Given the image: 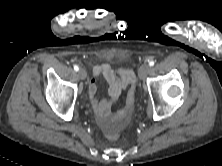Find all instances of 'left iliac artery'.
Listing matches in <instances>:
<instances>
[{
    "mask_svg": "<svg viewBox=\"0 0 222 166\" xmlns=\"http://www.w3.org/2000/svg\"><path fill=\"white\" fill-rule=\"evenodd\" d=\"M155 62L153 60L149 61L150 66H154Z\"/></svg>",
    "mask_w": 222,
    "mask_h": 166,
    "instance_id": "obj_1",
    "label": "left iliac artery"
}]
</instances>
